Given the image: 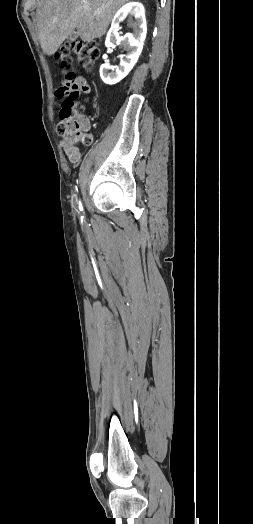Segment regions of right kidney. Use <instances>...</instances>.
I'll return each mask as SVG.
<instances>
[{"mask_svg":"<svg viewBox=\"0 0 253 524\" xmlns=\"http://www.w3.org/2000/svg\"><path fill=\"white\" fill-rule=\"evenodd\" d=\"M126 17L135 18V22L132 23L134 32L120 36L118 33L119 23ZM146 33L145 10L141 3H128L115 14L106 37L105 46L113 48L115 44L122 45L127 54L125 59L121 60L119 67L112 68L107 63L101 65L100 77L104 83L112 85L128 75L141 54ZM103 58L107 59V55H103Z\"/></svg>","mask_w":253,"mask_h":524,"instance_id":"right-kidney-1","label":"right kidney"}]
</instances>
